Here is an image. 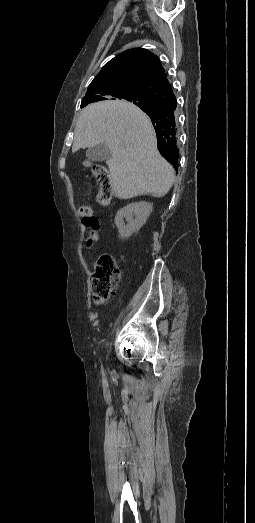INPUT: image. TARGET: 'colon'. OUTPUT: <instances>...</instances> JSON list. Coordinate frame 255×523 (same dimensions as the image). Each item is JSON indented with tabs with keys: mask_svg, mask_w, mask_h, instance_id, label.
Here are the masks:
<instances>
[{
	"mask_svg": "<svg viewBox=\"0 0 255 523\" xmlns=\"http://www.w3.org/2000/svg\"><path fill=\"white\" fill-rule=\"evenodd\" d=\"M93 174L99 184L97 201L103 206L110 205L112 202V185L108 170L103 166H95ZM79 214L84 224H90L94 220L93 208L89 204L80 206ZM119 277L120 272L114 258L107 253L101 254L95 262L94 274L91 280L96 302L104 303L110 299Z\"/></svg>",
	"mask_w": 255,
	"mask_h": 523,
	"instance_id": "1",
	"label": "colon"
}]
</instances>
